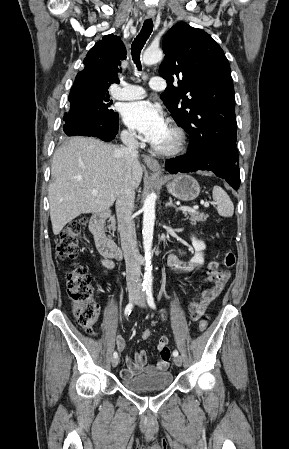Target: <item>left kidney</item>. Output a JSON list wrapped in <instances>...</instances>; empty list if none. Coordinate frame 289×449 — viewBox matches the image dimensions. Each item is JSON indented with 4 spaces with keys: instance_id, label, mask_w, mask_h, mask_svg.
I'll use <instances>...</instances> for the list:
<instances>
[{
    "instance_id": "left-kidney-1",
    "label": "left kidney",
    "mask_w": 289,
    "mask_h": 449,
    "mask_svg": "<svg viewBox=\"0 0 289 449\" xmlns=\"http://www.w3.org/2000/svg\"><path fill=\"white\" fill-rule=\"evenodd\" d=\"M192 245L195 249V255L190 260L192 265H199L204 263L203 250L206 248L205 244L201 240H197L195 237L191 238Z\"/></svg>"
}]
</instances>
